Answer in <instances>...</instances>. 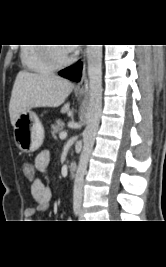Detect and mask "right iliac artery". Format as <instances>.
Instances as JSON below:
<instances>
[{
	"mask_svg": "<svg viewBox=\"0 0 166 267\" xmlns=\"http://www.w3.org/2000/svg\"><path fill=\"white\" fill-rule=\"evenodd\" d=\"M73 210H74V214H75L76 216H78V215H79V212H80V204H79V203H75V204L73 205Z\"/></svg>",
	"mask_w": 166,
	"mask_h": 267,
	"instance_id": "obj_1",
	"label": "right iliac artery"
}]
</instances>
